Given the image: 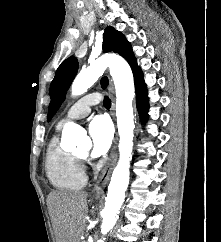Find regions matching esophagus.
<instances>
[{
    "label": "esophagus",
    "mask_w": 221,
    "mask_h": 242,
    "mask_svg": "<svg viewBox=\"0 0 221 242\" xmlns=\"http://www.w3.org/2000/svg\"><path fill=\"white\" fill-rule=\"evenodd\" d=\"M109 91L111 93L113 92V85L112 84H109ZM114 110H115V104L112 101L111 115H112L113 119L115 120ZM117 158H118V152H117V135H116L114 142H113L111 152H110L109 159H108L107 163L105 164L96 184L93 187L92 195L94 197L98 198V197L103 195L104 188L108 184L112 170H113V168H114V166L117 162Z\"/></svg>",
    "instance_id": "34e87169"
}]
</instances>
